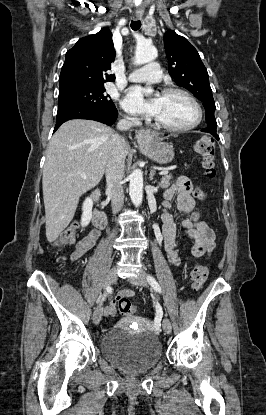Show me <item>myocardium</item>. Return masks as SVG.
Listing matches in <instances>:
<instances>
[{"label":"myocardium","mask_w":266,"mask_h":415,"mask_svg":"<svg viewBox=\"0 0 266 415\" xmlns=\"http://www.w3.org/2000/svg\"><path fill=\"white\" fill-rule=\"evenodd\" d=\"M162 93L163 94H179V95L184 96L186 99H188L196 110V119L189 125L182 126V127H175V126L166 125L160 122L157 118H155L156 127H158L159 129L168 131V132L180 133V132H186V131L192 130L201 123L202 118H203V111H202L201 105L190 92L184 89H181V88L168 87V88H165L162 91Z\"/></svg>","instance_id":"myocardium-1"}]
</instances>
